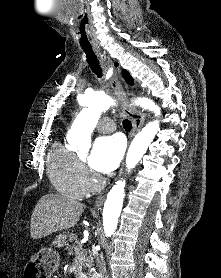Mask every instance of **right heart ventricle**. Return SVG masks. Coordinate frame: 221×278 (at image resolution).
Listing matches in <instances>:
<instances>
[{"label": "right heart ventricle", "instance_id": "1", "mask_svg": "<svg viewBox=\"0 0 221 278\" xmlns=\"http://www.w3.org/2000/svg\"><path fill=\"white\" fill-rule=\"evenodd\" d=\"M47 169L52 185L61 195L75 199L85 195L86 184L80 160L62 142L52 145L47 157Z\"/></svg>", "mask_w": 221, "mask_h": 278}]
</instances>
